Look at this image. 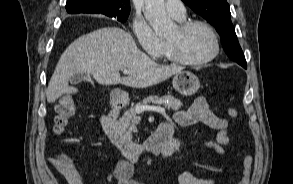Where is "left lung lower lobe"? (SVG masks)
Masks as SVG:
<instances>
[{
  "mask_svg": "<svg viewBox=\"0 0 293 184\" xmlns=\"http://www.w3.org/2000/svg\"><path fill=\"white\" fill-rule=\"evenodd\" d=\"M239 65H241L243 68H247V64L246 63H241V64H239Z\"/></svg>",
  "mask_w": 293,
  "mask_h": 184,
  "instance_id": "obj_1",
  "label": "left lung lower lobe"
}]
</instances>
